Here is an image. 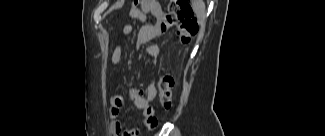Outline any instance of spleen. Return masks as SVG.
<instances>
[{
    "mask_svg": "<svg viewBox=\"0 0 325 136\" xmlns=\"http://www.w3.org/2000/svg\"><path fill=\"white\" fill-rule=\"evenodd\" d=\"M200 3H201V6H202V12L199 15H200V17H203L204 16V8H205V6H204V3L202 1Z\"/></svg>",
    "mask_w": 325,
    "mask_h": 136,
    "instance_id": "spleen-1",
    "label": "spleen"
}]
</instances>
